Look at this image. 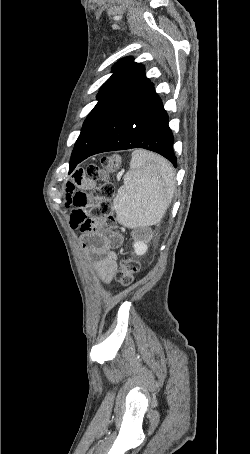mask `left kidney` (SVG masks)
Here are the masks:
<instances>
[{"mask_svg": "<svg viewBox=\"0 0 250 454\" xmlns=\"http://www.w3.org/2000/svg\"><path fill=\"white\" fill-rule=\"evenodd\" d=\"M134 252L136 255H144L148 249L147 242L145 240L136 239L133 244Z\"/></svg>", "mask_w": 250, "mask_h": 454, "instance_id": "left-kidney-1", "label": "left kidney"}]
</instances>
